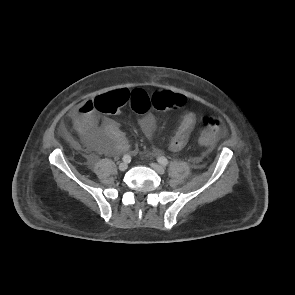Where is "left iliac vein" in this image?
I'll list each match as a JSON object with an SVG mask.
<instances>
[{"label": "left iliac vein", "mask_w": 295, "mask_h": 295, "mask_svg": "<svg viewBox=\"0 0 295 295\" xmlns=\"http://www.w3.org/2000/svg\"><path fill=\"white\" fill-rule=\"evenodd\" d=\"M150 166L160 175L165 173L164 167H162L161 165L157 163H151Z\"/></svg>", "instance_id": "1"}]
</instances>
